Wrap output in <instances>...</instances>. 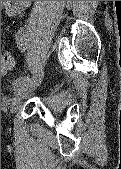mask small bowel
Instances as JSON below:
<instances>
[{
  "instance_id": "1",
  "label": "small bowel",
  "mask_w": 121,
  "mask_h": 169,
  "mask_svg": "<svg viewBox=\"0 0 121 169\" xmlns=\"http://www.w3.org/2000/svg\"><path fill=\"white\" fill-rule=\"evenodd\" d=\"M30 1H3L9 15H15L24 7L28 6Z\"/></svg>"
}]
</instances>
